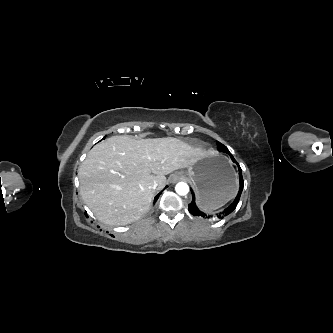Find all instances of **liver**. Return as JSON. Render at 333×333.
I'll list each match as a JSON object with an SVG mask.
<instances>
[{"label":"liver","mask_w":333,"mask_h":333,"mask_svg":"<svg viewBox=\"0 0 333 333\" xmlns=\"http://www.w3.org/2000/svg\"><path fill=\"white\" fill-rule=\"evenodd\" d=\"M205 154L173 137L112 136L96 144L78 169L82 199L104 224L135 222L165 186V175L190 167ZM154 183L157 189L151 188Z\"/></svg>","instance_id":"1"}]
</instances>
